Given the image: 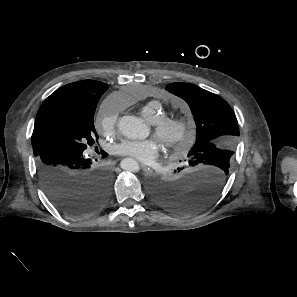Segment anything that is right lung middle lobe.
<instances>
[{
    "label": "right lung middle lobe",
    "mask_w": 297,
    "mask_h": 297,
    "mask_svg": "<svg viewBox=\"0 0 297 297\" xmlns=\"http://www.w3.org/2000/svg\"><path fill=\"white\" fill-rule=\"evenodd\" d=\"M96 103L64 100L52 106L40 122L33 151L61 147L83 153L98 140L93 124Z\"/></svg>",
    "instance_id": "obj_1"
}]
</instances>
